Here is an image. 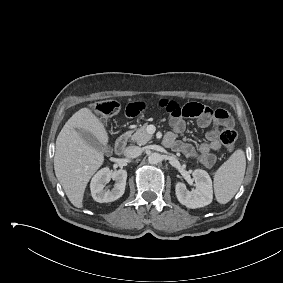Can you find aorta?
Masks as SVG:
<instances>
[{"instance_id": "obj_1", "label": "aorta", "mask_w": 283, "mask_h": 283, "mask_svg": "<svg viewBox=\"0 0 283 283\" xmlns=\"http://www.w3.org/2000/svg\"><path fill=\"white\" fill-rule=\"evenodd\" d=\"M162 161V157L159 153H151L149 156H148V162L150 164H157V163H160Z\"/></svg>"}]
</instances>
